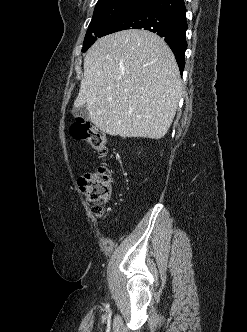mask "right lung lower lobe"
I'll return each mask as SVG.
<instances>
[{"label":"right lung lower lobe","mask_w":247,"mask_h":332,"mask_svg":"<svg viewBox=\"0 0 247 332\" xmlns=\"http://www.w3.org/2000/svg\"><path fill=\"white\" fill-rule=\"evenodd\" d=\"M187 27L184 0H147L110 24L101 37L128 29H145L157 33L171 48L182 74Z\"/></svg>","instance_id":"1"}]
</instances>
